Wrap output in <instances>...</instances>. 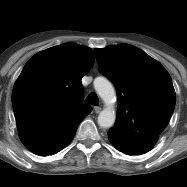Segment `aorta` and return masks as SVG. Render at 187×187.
I'll return each mask as SVG.
<instances>
[{"instance_id":"aorta-1","label":"aorta","mask_w":187,"mask_h":187,"mask_svg":"<svg viewBox=\"0 0 187 187\" xmlns=\"http://www.w3.org/2000/svg\"><path fill=\"white\" fill-rule=\"evenodd\" d=\"M94 87L105 104V108L98 116V123L102 127H111L116 119L114 104L116 92L109 80L104 77H97L94 80Z\"/></svg>"}]
</instances>
